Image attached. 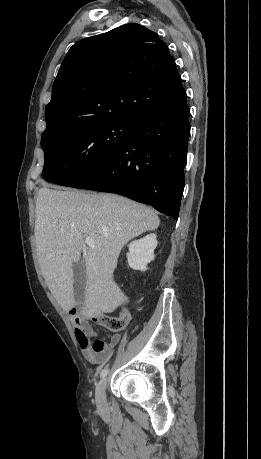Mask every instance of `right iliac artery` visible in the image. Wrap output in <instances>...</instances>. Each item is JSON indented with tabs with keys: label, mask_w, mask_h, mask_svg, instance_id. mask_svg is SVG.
<instances>
[{
	"label": "right iliac artery",
	"mask_w": 261,
	"mask_h": 459,
	"mask_svg": "<svg viewBox=\"0 0 261 459\" xmlns=\"http://www.w3.org/2000/svg\"><path fill=\"white\" fill-rule=\"evenodd\" d=\"M109 372V369L108 368H105L103 369L101 372H100V377H105Z\"/></svg>",
	"instance_id": "right-iliac-artery-1"
}]
</instances>
